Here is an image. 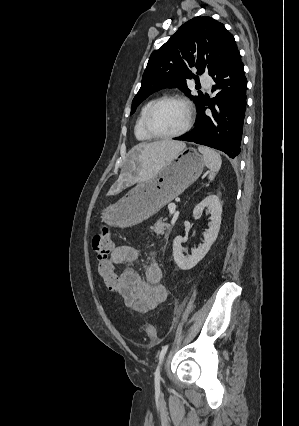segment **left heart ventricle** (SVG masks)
I'll return each instance as SVG.
<instances>
[{"instance_id":"b2bd125f","label":"left heart ventricle","mask_w":299,"mask_h":426,"mask_svg":"<svg viewBox=\"0 0 299 426\" xmlns=\"http://www.w3.org/2000/svg\"><path fill=\"white\" fill-rule=\"evenodd\" d=\"M187 110L178 102H165L153 113L152 128L161 134H170L179 131L186 123Z\"/></svg>"}]
</instances>
